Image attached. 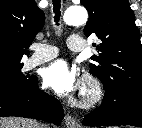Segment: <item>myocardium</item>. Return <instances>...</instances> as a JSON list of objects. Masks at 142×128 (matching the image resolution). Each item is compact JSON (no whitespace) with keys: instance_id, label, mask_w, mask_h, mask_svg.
<instances>
[{"instance_id":"obj_1","label":"myocardium","mask_w":142,"mask_h":128,"mask_svg":"<svg viewBox=\"0 0 142 128\" xmlns=\"http://www.w3.org/2000/svg\"><path fill=\"white\" fill-rule=\"evenodd\" d=\"M103 93L101 82L93 75L86 74L73 102L76 106L90 108L101 101Z\"/></svg>"}]
</instances>
